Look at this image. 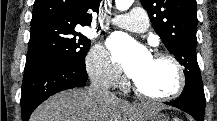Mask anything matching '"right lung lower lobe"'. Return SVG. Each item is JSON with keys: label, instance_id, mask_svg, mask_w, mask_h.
Segmentation results:
<instances>
[{"label": "right lung lower lobe", "instance_id": "obj_1", "mask_svg": "<svg viewBox=\"0 0 217 121\" xmlns=\"http://www.w3.org/2000/svg\"><path fill=\"white\" fill-rule=\"evenodd\" d=\"M86 70L68 64H42L24 69L21 93L22 120L27 121L31 113L51 95L87 81Z\"/></svg>", "mask_w": 217, "mask_h": 121}]
</instances>
